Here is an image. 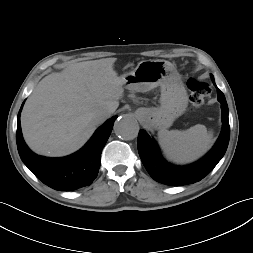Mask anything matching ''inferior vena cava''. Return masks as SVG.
<instances>
[{"mask_svg":"<svg viewBox=\"0 0 253 253\" xmlns=\"http://www.w3.org/2000/svg\"><path fill=\"white\" fill-rule=\"evenodd\" d=\"M112 112L111 111H107V110H102V111H98L97 113H95L94 118L95 120L101 124L103 123L106 119H108L111 116Z\"/></svg>","mask_w":253,"mask_h":253,"instance_id":"inferior-vena-cava-1","label":"inferior vena cava"}]
</instances>
